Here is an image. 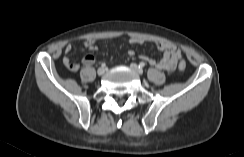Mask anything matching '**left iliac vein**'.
<instances>
[{
    "label": "left iliac vein",
    "instance_id": "4c4485c4",
    "mask_svg": "<svg viewBox=\"0 0 244 157\" xmlns=\"http://www.w3.org/2000/svg\"><path fill=\"white\" fill-rule=\"evenodd\" d=\"M130 67L139 75L143 74V70L137 66L135 63H131Z\"/></svg>",
    "mask_w": 244,
    "mask_h": 157
}]
</instances>
